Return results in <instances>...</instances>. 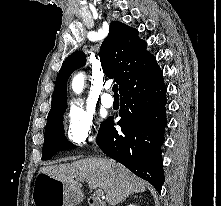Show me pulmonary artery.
<instances>
[{
  "instance_id": "1",
  "label": "pulmonary artery",
  "mask_w": 221,
  "mask_h": 206,
  "mask_svg": "<svg viewBox=\"0 0 221 206\" xmlns=\"http://www.w3.org/2000/svg\"><path fill=\"white\" fill-rule=\"evenodd\" d=\"M104 88H105L106 90H108V89L110 88V85L105 84ZM101 102H102V104H103L105 107L109 108V107H111V106L113 105L114 100H113V97H112L110 94L105 93V94H103L102 97H101Z\"/></svg>"
}]
</instances>
